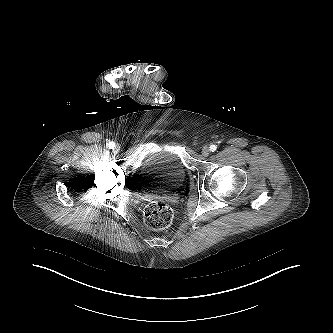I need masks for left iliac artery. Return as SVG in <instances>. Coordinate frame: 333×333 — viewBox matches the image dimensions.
<instances>
[{"label":"left iliac artery","mask_w":333,"mask_h":333,"mask_svg":"<svg viewBox=\"0 0 333 333\" xmlns=\"http://www.w3.org/2000/svg\"><path fill=\"white\" fill-rule=\"evenodd\" d=\"M216 149H217V146H216V145H211V146H210V150H211L212 152L216 151Z\"/></svg>","instance_id":"obj_1"}]
</instances>
